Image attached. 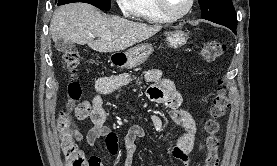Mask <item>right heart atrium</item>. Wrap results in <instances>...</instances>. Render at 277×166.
Wrapping results in <instances>:
<instances>
[{"label": "right heart atrium", "instance_id": "obj_1", "mask_svg": "<svg viewBox=\"0 0 277 166\" xmlns=\"http://www.w3.org/2000/svg\"><path fill=\"white\" fill-rule=\"evenodd\" d=\"M133 1L134 0H116V3L123 13L128 14L132 11Z\"/></svg>", "mask_w": 277, "mask_h": 166}]
</instances>
